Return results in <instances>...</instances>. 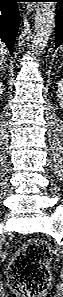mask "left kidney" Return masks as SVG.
Wrapping results in <instances>:
<instances>
[{"label":"left kidney","instance_id":"1","mask_svg":"<svg viewBox=\"0 0 63 297\" xmlns=\"http://www.w3.org/2000/svg\"><path fill=\"white\" fill-rule=\"evenodd\" d=\"M57 87V98L60 105H63V80L58 81Z\"/></svg>","mask_w":63,"mask_h":297}]
</instances>
